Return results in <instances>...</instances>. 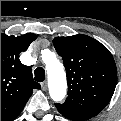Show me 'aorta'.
Wrapping results in <instances>:
<instances>
[{
  "label": "aorta",
  "instance_id": "aorta-1",
  "mask_svg": "<svg viewBox=\"0 0 121 121\" xmlns=\"http://www.w3.org/2000/svg\"><path fill=\"white\" fill-rule=\"evenodd\" d=\"M46 70L50 97L54 101L59 102L66 95V75L62 63L56 59L52 52H49L46 58Z\"/></svg>",
  "mask_w": 121,
  "mask_h": 121
}]
</instances>
